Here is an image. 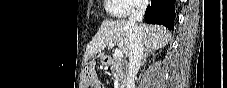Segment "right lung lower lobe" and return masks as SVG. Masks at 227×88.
Wrapping results in <instances>:
<instances>
[{"mask_svg": "<svg viewBox=\"0 0 227 88\" xmlns=\"http://www.w3.org/2000/svg\"><path fill=\"white\" fill-rule=\"evenodd\" d=\"M175 0H152L145 12V20L148 24L164 25L168 29L174 28Z\"/></svg>", "mask_w": 227, "mask_h": 88, "instance_id": "1", "label": "right lung lower lobe"}]
</instances>
